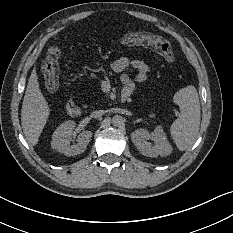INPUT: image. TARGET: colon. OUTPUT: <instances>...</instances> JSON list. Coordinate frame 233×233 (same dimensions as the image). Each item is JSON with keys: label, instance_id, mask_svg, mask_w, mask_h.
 <instances>
[{"label": "colon", "instance_id": "obj_1", "mask_svg": "<svg viewBox=\"0 0 233 233\" xmlns=\"http://www.w3.org/2000/svg\"><path fill=\"white\" fill-rule=\"evenodd\" d=\"M124 40L127 44H144L153 47L168 64H173L176 61L171 44L162 38L150 37L142 33H132L127 35ZM59 59L60 50L56 47L50 48L42 66L45 85L50 91L56 90L59 84Z\"/></svg>", "mask_w": 233, "mask_h": 233}]
</instances>
